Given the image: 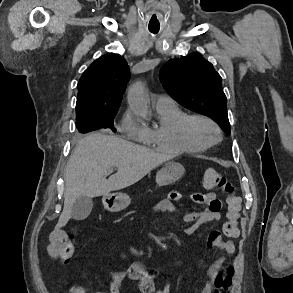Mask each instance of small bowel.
<instances>
[{
	"instance_id": "c3829d8e",
	"label": "small bowel",
	"mask_w": 293,
	"mask_h": 293,
	"mask_svg": "<svg viewBox=\"0 0 293 293\" xmlns=\"http://www.w3.org/2000/svg\"><path fill=\"white\" fill-rule=\"evenodd\" d=\"M192 200L197 204L206 206L205 210L198 212H189L182 215V220L189 223L184 229L187 236L193 235L200 226L207 222L217 221L220 219L221 202L217 199L216 193L210 191L206 193H193ZM182 199V194L179 191H172L168 198L162 199L157 202L152 212L158 213H173L176 211L175 203ZM207 245L209 247H217L224 251L226 254H233L236 250L235 244L232 240H224L219 231L214 230L208 234ZM224 258H219L208 268L209 281L204 285L201 293H213L214 281L221 268ZM159 278V273L147 268L141 262L134 261L130 264L129 268L123 272L114 273L108 283L106 290L91 291V293H124L123 282L126 279L134 281L138 284L140 293H171L169 285L156 287V282ZM70 293H85L86 291L79 286H71Z\"/></svg>"
}]
</instances>
